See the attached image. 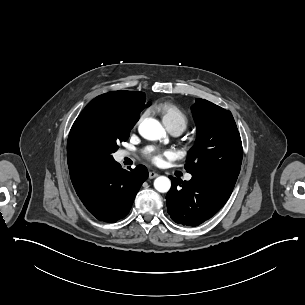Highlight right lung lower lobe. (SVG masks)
<instances>
[{
  "label": "right lung lower lobe",
  "mask_w": 305,
  "mask_h": 305,
  "mask_svg": "<svg viewBox=\"0 0 305 305\" xmlns=\"http://www.w3.org/2000/svg\"><path fill=\"white\" fill-rule=\"evenodd\" d=\"M70 177L77 195L94 217L116 222L129 213L137 192L148 178V171L138 165L128 172L114 162Z\"/></svg>",
  "instance_id": "right-lung-lower-lobe-1"
}]
</instances>
